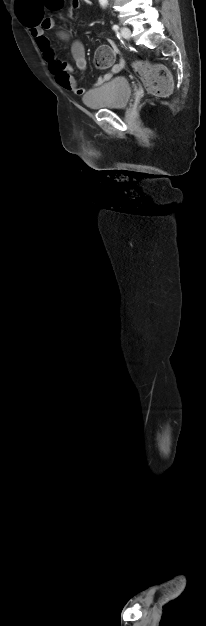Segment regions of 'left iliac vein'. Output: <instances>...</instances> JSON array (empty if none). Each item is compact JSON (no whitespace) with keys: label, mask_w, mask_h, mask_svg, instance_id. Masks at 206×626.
Wrapping results in <instances>:
<instances>
[{"label":"left iliac vein","mask_w":206,"mask_h":626,"mask_svg":"<svg viewBox=\"0 0 206 626\" xmlns=\"http://www.w3.org/2000/svg\"><path fill=\"white\" fill-rule=\"evenodd\" d=\"M120 33L125 39H130L131 37V31L127 27H122Z\"/></svg>","instance_id":"1"}]
</instances>
